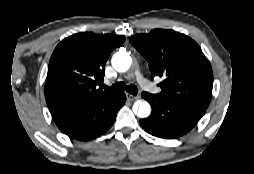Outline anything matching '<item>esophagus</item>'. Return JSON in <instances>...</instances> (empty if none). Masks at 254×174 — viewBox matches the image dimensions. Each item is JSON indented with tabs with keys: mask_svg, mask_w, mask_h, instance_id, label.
Instances as JSON below:
<instances>
[{
	"mask_svg": "<svg viewBox=\"0 0 254 174\" xmlns=\"http://www.w3.org/2000/svg\"><path fill=\"white\" fill-rule=\"evenodd\" d=\"M126 97H127V100H128V101H134V100L139 99L138 96H134V95L129 94V93L126 94Z\"/></svg>",
	"mask_w": 254,
	"mask_h": 174,
	"instance_id": "1",
	"label": "esophagus"
}]
</instances>
